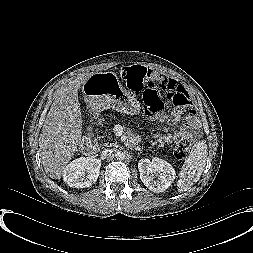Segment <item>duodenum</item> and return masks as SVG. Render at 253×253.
Instances as JSON below:
<instances>
[{
	"instance_id": "1",
	"label": "duodenum",
	"mask_w": 253,
	"mask_h": 253,
	"mask_svg": "<svg viewBox=\"0 0 253 253\" xmlns=\"http://www.w3.org/2000/svg\"><path fill=\"white\" fill-rule=\"evenodd\" d=\"M81 151L88 155L91 156L97 152V147L94 144V142L91 139H86L82 144H81Z\"/></svg>"
}]
</instances>
